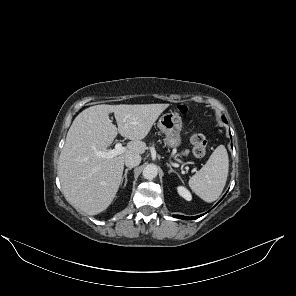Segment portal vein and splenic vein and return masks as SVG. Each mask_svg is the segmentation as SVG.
Listing matches in <instances>:
<instances>
[{"instance_id":"1","label":"portal vein and splenic vein","mask_w":296,"mask_h":296,"mask_svg":"<svg viewBox=\"0 0 296 296\" xmlns=\"http://www.w3.org/2000/svg\"><path fill=\"white\" fill-rule=\"evenodd\" d=\"M125 151V147L122 146V143L118 142L115 145V149H112L110 151H96L95 155L98 157H103L107 159H111L117 155H120Z\"/></svg>"}]
</instances>
